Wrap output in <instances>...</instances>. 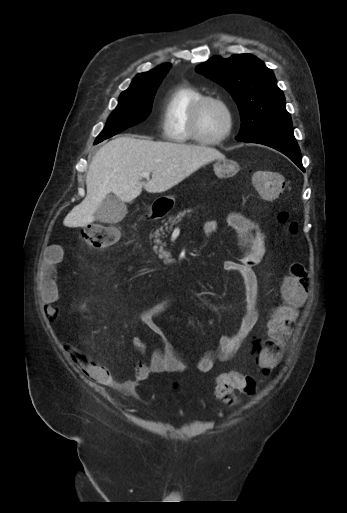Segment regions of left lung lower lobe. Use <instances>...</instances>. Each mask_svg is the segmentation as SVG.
I'll return each instance as SVG.
<instances>
[{"label": "left lung lower lobe", "instance_id": "0a47b994", "mask_svg": "<svg viewBox=\"0 0 347 513\" xmlns=\"http://www.w3.org/2000/svg\"><path fill=\"white\" fill-rule=\"evenodd\" d=\"M243 142L258 143L274 148L288 156L302 171H305L292 127L268 130Z\"/></svg>", "mask_w": 347, "mask_h": 513}]
</instances>
